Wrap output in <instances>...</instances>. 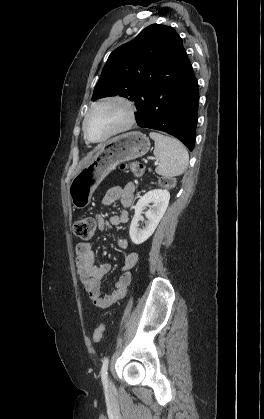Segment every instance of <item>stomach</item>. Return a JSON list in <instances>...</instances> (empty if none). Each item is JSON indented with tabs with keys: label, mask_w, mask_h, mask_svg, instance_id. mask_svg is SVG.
<instances>
[{
	"label": "stomach",
	"mask_w": 264,
	"mask_h": 419,
	"mask_svg": "<svg viewBox=\"0 0 264 419\" xmlns=\"http://www.w3.org/2000/svg\"><path fill=\"white\" fill-rule=\"evenodd\" d=\"M149 149V138L137 131L122 134L102 144L69 184L68 193L73 207L83 209L88 206L93 192L118 164L142 157Z\"/></svg>",
	"instance_id": "0dacf381"
}]
</instances>
